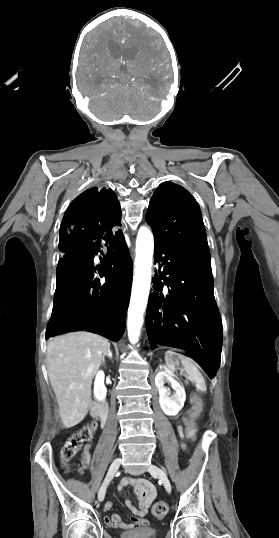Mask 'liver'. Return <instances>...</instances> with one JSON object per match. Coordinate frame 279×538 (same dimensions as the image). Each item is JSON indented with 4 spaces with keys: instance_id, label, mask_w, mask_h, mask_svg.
<instances>
[{
    "instance_id": "6515ba94",
    "label": "liver",
    "mask_w": 279,
    "mask_h": 538,
    "mask_svg": "<svg viewBox=\"0 0 279 538\" xmlns=\"http://www.w3.org/2000/svg\"><path fill=\"white\" fill-rule=\"evenodd\" d=\"M108 346V340L90 332L50 338L47 370L65 428L77 426L87 416L92 380Z\"/></svg>"
}]
</instances>
